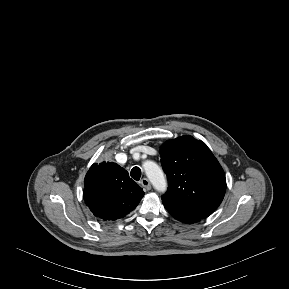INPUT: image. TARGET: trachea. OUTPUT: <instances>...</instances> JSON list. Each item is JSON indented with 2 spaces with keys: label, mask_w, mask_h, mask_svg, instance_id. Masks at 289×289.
I'll return each mask as SVG.
<instances>
[{
  "label": "trachea",
  "mask_w": 289,
  "mask_h": 289,
  "mask_svg": "<svg viewBox=\"0 0 289 289\" xmlns=\"http://www.w3.org/2000/svg\"><path fill=\"white\" fill-rule=\"evenodd\" d=\"M130 175L134 180L139 181L141 178V169L139 167H133Z\"/></svg>",
  "instance_id": "trachea-1"
}]
</instances>
